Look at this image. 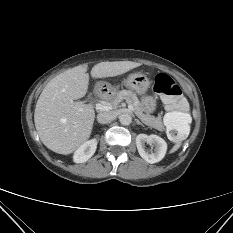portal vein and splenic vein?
Returning <instances> with one entry per match:
<instances>
[{
	"label": "portal vein and splenic vein",
	"instance_id": "18ae733b",
	"mask_svg": "<svg viewBox=\"0 0 233 233\" xmlns=\"http://www.w3.org/2000/svg\"><path fill=\"white\" fill-rule=\"evenodd\" d=\"M128 108L130 110H133V106L131 104H128ZM96 109H98L100 111H108V110L112 109V105L106 104V103H97Z\"/></svg>",
	"mask_w": 233,
	"mask_h": 233
}]
</instances>
